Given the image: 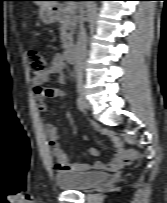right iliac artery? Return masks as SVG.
<instances>
[{
    "mask_svg": "<svg viewBox=\"0 0 167 203\" xmlns=\"http://www.w3.org/2000/svg\"><path fill=\"white\" fill-rule=\"evenodd\" d=\"M76 104H77V107H78V109H79L80 111H84V109H85V104H84L83 100H82L80 97L77 98Z\"/></svg>",
    "mask_w": 167,
    "mask_h": 203,
    "instance_id": "82829eb1",
    "label": "right iliac artery"
}]
</instances>
